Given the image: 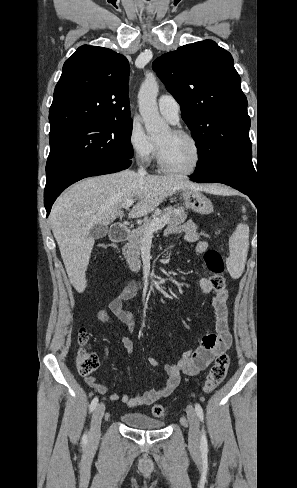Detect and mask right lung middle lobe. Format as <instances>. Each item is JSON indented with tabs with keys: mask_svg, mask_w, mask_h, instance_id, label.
Segmentation results:
<instances>
[{
	"mask_svg": "<svg viewBox=\"0 0 297 488\" xmlns=\"http://www.w3.org/2000/svg\"><path fill=\"white\" fill-rule=\"evenodd\" d=\"M131 132L132 120L125 119L80 124L49 134L46 186L90 163L130 160Z\"/></svg>",
	"mask_w": 297,
	"mask_h": 488,
	"instance_id": "obj_1",
	"label": "right lung middle lobe"
}]
</instances>
